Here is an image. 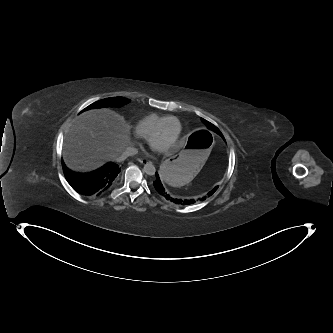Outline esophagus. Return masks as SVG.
<instances>
[{"mask_svg": "<svg viewBox=\"0 0 333 333\" xmlns=\"http://www.w3.org/2000/svg\"><path fill=\"white\" fill-rule=\"evenodd\" d=\"M137 160H138V162H140L141 164H144V165L150 163V160L145 157H138Z\"/></svg>", "mask_w": 333, "mask_h": 333, "instance_id": "esophagus-1", "label": "esophagus"}]
</instances>
